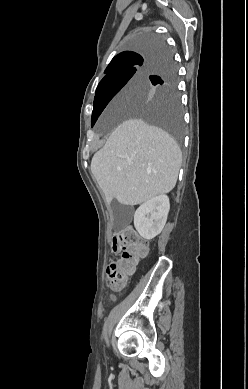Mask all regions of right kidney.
Returning a JSON list of instances; mask_svg holds the SVG:
<instances>
[{"label":"right kidney","instance_id":"1","mask_svg":"<svg viewBox=\"0 0 248 389\" xmlns=\"http://www.w3.org/2000/svg\"><path fill=\"white\" fill-rule=\"evenodd\" d=\"M170 209L167 195H158L144 202L134 214V226L141 237L151 240L161 233Z\"/></svg>","mask_w":248,"mask_h":389}]
</instances>
